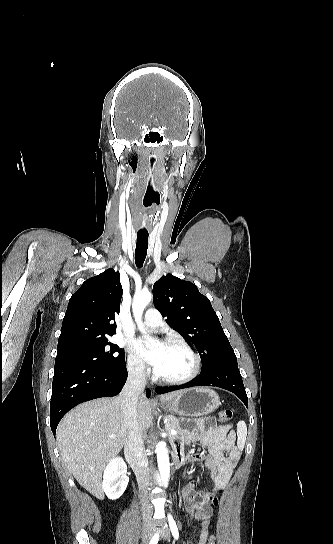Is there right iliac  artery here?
<instances>
[{"label":"right iliac artery","mask_w":333,"mask_h":544,"mask_svg":"<svg viewBox=\"0 0 333 544\" xmlns=\"http://www.w3.org/2000/svg\"><path fill=\"white\" fill-rule=\"evenodd\" d=\"M158 540H159V534L156 533V534L152 537V539H151V541H150L149 544H157V543H158Z\"/></svg>","instance_id":"82829eb1"}]
</instances>
